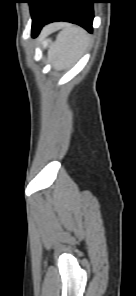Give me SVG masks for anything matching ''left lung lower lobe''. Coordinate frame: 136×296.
<instances>
[{
  "instance_id": "left-lung-lower-lobe-1",
  "label": "left lung lower lobe",
  "mask_w": 136,
  "mask_h": 296,
  "mask_svg": "<svg viewBox=\"0 0 136 296\" xmlns=\"http://www.w3.org/2000/svg\"><path fill=\"white\" fill-rule=\"evenodd\" d=\"M97 2V0H53L45 17L32 24V36L36 37L44 25L55 21L78 24L92 33V4Z\"/></svg>"
}]
</instances>
